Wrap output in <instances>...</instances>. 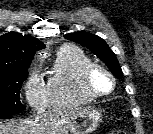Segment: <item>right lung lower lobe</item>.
<instances>
[{
	"label": "right lung lower lobe",
	"mask_w": 153,
	"mask_h": 134,
	"mask_svg": "<svg viewBox=\"0 0 153 134\" xmlns=\"http://www.w3.org/2000/svg\"><path fill=\"white\" fill-rule=\"evenodd\" d=\"M0 118H11V115L0 114Z\"/></svg>",
	"instance_id": "right-lung-lower-lobe-1"
}]
</instances>
